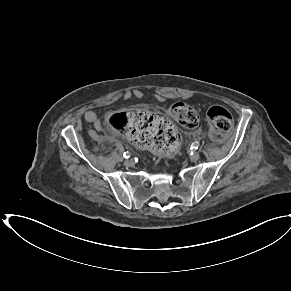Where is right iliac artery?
Returning a JSON list of instances; mask_svg holds the SVG:
<instances>
[{
	"label": "right iliac artery",
	"instance_id": "obj_1",
	"mask_svg": "<svg viewBox=\"0 0 291 291\" xmlns=\"http://www.w3.org/2000/svg\"><path fill=\"white\" fill-rule=\"evenodd\" d=\"M123 157L126 158V159L129 158L130 157V153L128 151L124 152Z\"/></svg>",
	"mask_w": 291,
	"mask_h": 291
}]
</instances>
